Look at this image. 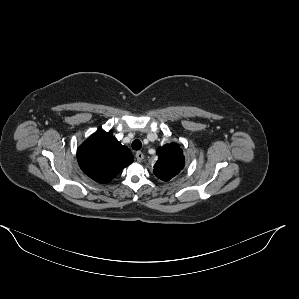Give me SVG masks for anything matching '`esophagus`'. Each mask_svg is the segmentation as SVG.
<instances>
[{
    "mask_svg": "<svg viewBox=\"0 0 299 299\" xmlns=\"http://www.w3.org/2000/svg\"><path fill=\"white\" fill-rule=\"evenodd\" d=\"M135 156L138 162H141L144 158V154L141 151H138Z\"/></svg>",
    "mask_w": 299,
    "mask_h": 299,
    "instance_id": "obj_1",
    "label": "esophagus"
}]
</instances>
